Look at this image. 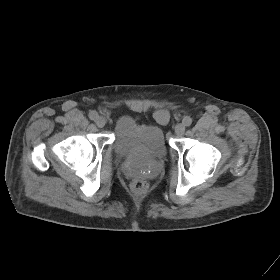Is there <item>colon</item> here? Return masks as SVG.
Returning <instances> with one entry per match:
<instances>
[{
	"instance_id": "obj_1",
	"label": "colon",
	"mask_w": 280,
	"mask_h": 280,
	"mask_svg": "<svg viewBox=\"0 0 280 280\" xmlns=\"http://www.w3.org/2000/svg\"><path fill=\"white\" fill-rule=\"evenodd\" d=\"M132 187L135 192L143 193L147 189V183L143 179H136L133 181Z\"/></svg>"
}]
</instances>
